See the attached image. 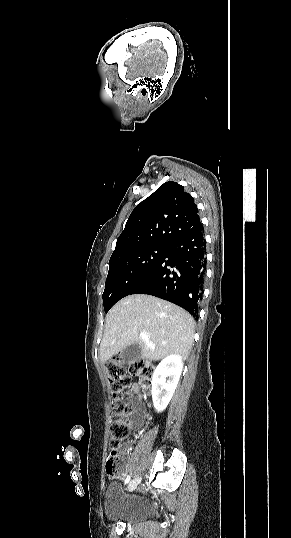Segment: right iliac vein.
I'll return each mask as SVG.
<instances>
[{"label":"right iliac vein","mask_w":291,"mask_h":538,"mask_svg":"<svg viewBox=\"0 0 291 538\" xmlns=\"http://www.w3.org/2000/svg\"><path fill=\"white\" fill-rule=\"evenodd\" d=\"M140 480H141L140 477H136L135 479H133L128 486V490L133 491L137 487V485L140 483Z\"/></svg>","instance_id":"obj_1"}]
</instances>
